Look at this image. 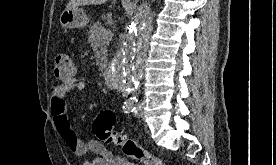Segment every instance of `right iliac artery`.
Instances as JSON below:
<instances>
[{
	"label": "right iliac artery",
	"mask_w": 276,
	"mask_h": 165,
	"mask_svg": "<svg viewBox=\"0 0 276 165\" xmlns=\"http://www.w3.org/2000/svg\"><path fill=\"white\" fill-rule=\"evenodd\" d=\"M123 110L125 113L134 112L136 110L135 100H127L126 102H124Z\"/></svg>",
	"instance_id": "obj_1"
}]
</instances>
